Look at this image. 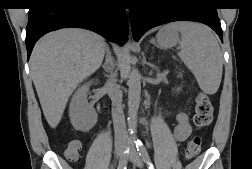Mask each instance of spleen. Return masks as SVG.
Listing matches in <instances>:
<instances>
[{
  "mask_svg": "<svg viewBox=\"0 0 252 169\" xmlns=\"http://www.w3.org/2000/svg\"><path fill=\"white\" fill-rule=\"evenodd\" d=\"M171 25L181 33L179 57L195 76L201 90L209 95L215 94L223 70L217 38L202 24L179 22Z\"/></svg>",
  "mask_w": 252,
  "mask_h": 169,
  "instance_id": "1",
  "label": "spleen"
}]
</instances>
